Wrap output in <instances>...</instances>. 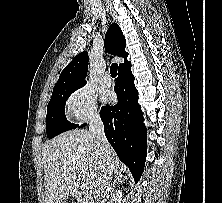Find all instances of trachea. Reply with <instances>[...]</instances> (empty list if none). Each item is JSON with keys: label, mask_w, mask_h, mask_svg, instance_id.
Returning <instances> with one entry per match:
<instances>
[{"label": "trachea", "mask_w": 222, "mask_h": 203, "mask_svg": "<svg viewBox=\"0 0 222 203\" xmlns=\"http://www.w3.org/2000/svg\"><path fill=\"white\" fill-rule=\"evenodd\" d=\"M117 68H118V66L116 63H113L110 67V74L113 78H115L117 75Z\"/></svg>", "instance_id": "obj_1"}]
</instances>
